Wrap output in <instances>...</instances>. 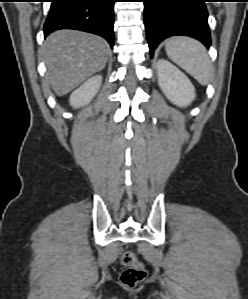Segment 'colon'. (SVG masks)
<instances>
[{"label": "colon", "instance_id": "5ec220e1", "mask_svg": "<svg viewBox=\"0 0 248 299\" xmlns=\"http://www.w3.org/2000/svg\"><path fill=\"white\" fill-rule=\"evenodd\" d=\"M121 264L124 267L120 275L122 284L134 287L144 280L146 271L133 251L127 250L122 253Z\"/></svg>", "mask_w": 248, "mask_h": 299}]
</instances>
